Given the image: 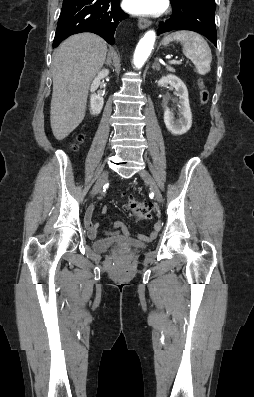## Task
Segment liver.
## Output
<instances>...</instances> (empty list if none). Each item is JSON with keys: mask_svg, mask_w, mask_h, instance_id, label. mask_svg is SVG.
Listing matches in <instances>:
<instances>
[{"mask_svg": "<svg viewBox=\"0 0 254 397\" xmlns=\"http://www.w3.org/2000/svg\"><path fill=\"white\" fill-rule=\"evenodd\" d=\"M106 53V42L92 33L73 35L55 49L50 123L57 140L66 138L84 119L89 85Z\"/></svg>", "mask_w": 254, "mask_h": 397, "instance_id": "liver-1", "label": "liver"}]
</instances>
